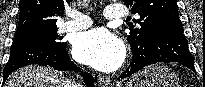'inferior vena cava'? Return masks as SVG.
I'll return each instance as SVG.
<instances>
[{
	"mask_svg": "<svg viewBox=\"0 0 205 87\" xmlns=\"http://www.w3.org/2000/svg\"><path fill=\"white\" fill-rule=\"evenodd\" d=\"M69 87H79V85L75 84V83H70Z\"/></svg>",
	"mask_w": 205,
	"mask_h": 87,
	"instance_id": "1",
	"label": "inferior vena cava"
}]
</instances>
